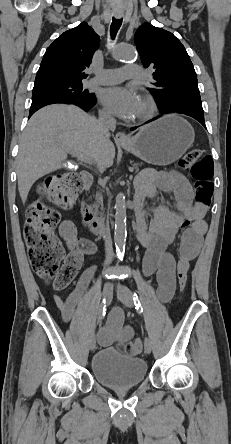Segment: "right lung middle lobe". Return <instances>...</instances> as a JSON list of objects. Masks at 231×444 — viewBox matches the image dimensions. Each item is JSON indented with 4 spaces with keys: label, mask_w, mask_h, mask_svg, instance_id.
I'll use <instances>...</instances> for the list:
<instances>
[{
    "label": "right lung middle lobe",
    "mask_w": 231,
    "mask_h": 444,
    "mask_svg": "<svg viewBox=\"0 0 231 444\" xmlns=\"http://www.w3.org/2000/svg\"><path fill=\"white\" fill-rule=\"evenodd\" d=\"M48 99L88 103L95 100V97L83 89L82 83H55L33 88L32 103Z\"/></svg>",
    "instance_id": "right-lung-middle-lobe-1"
}]
</instances>
